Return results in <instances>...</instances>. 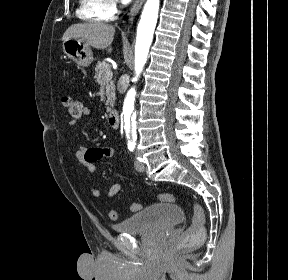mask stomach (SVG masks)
Returning <instances> with one entry per match:
<instances>
[{
  "label": "stomach",
  "mask_w": 288,
  "mask_h": 280,
  "mask_svg": "<svg viewBox=\"0 0 288 280\" xmlns=\"http://www.w3.org/2000/svg\"><path fill=\"white\" fill-rule=\"evenodd\" d=\"M65 55L80 66L87 67L93 62V53L87 44L78 39H67L62 43Z\"/></svg>",
  "instance_id": "stomach-1"
}]
</instances>
